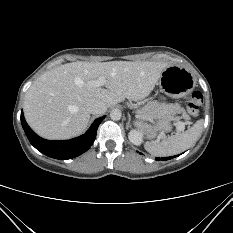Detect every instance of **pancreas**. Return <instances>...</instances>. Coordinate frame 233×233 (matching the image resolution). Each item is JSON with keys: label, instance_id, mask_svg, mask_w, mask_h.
I'll return each mask as SVG.
<instances>
[{"label": "pancreas", "instance_id": "pancreas-1", "mask_svg": "<svg viewBox=\"0 0 233 233\" xmlns=\"http://www.w3.org/2000/svg\"><path fill=\"white\" fill-rule=\"evenodd\" d=\"M151 103L147 104L146 106H144L142 109L137 110V116L140 119L143 120H148L151 119Z\"/></svg>", "mask_w": 233, "mask_h": 233}]
</instances>
